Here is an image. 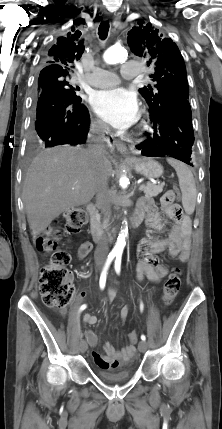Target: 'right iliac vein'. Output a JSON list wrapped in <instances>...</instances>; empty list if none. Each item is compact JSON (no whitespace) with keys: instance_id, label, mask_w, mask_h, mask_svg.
I'll use <instances>...</instances> for the list:
<instances>
[{"instance_id":"1","label":"right iliac vein","mask_w":222,"mask_h":429,"mask_svg":"<svg viewBox=\"0 0 222 429\" xmlns=\"http://www.w3.org/2000/svg\"><path fill=\"white\" fill-rule=\"evenodd\" d=\"M87 348H88V344H87V342H86L84 339H82V340L80 341V343H79V350H80V352H81V353H85V352H86V350H87Z\"/></svg>"}]
</instances>
